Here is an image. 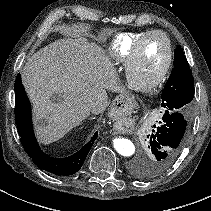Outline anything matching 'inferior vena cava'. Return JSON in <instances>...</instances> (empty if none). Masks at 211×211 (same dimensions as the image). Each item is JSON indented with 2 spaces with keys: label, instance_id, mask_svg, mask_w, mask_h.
<instances>
[{
  "label": "inferior vena cava",
  "instance_id": "602c4592",
  "mask_svg": "<svg viewBox=\"0 0 211 211\" xmlns=\"http://www.w3.org/2000/svg\"><path fill=\"white\" fill-rule=\"evenodd\" d=\"M100 96H102V91H97V95H95V97H93V102H91L90 107L94 108L96 103L98 102V100H100Z\"/></svg>",
  "mask_w": 211,
  "mask_h": 211
}]
</instances>
